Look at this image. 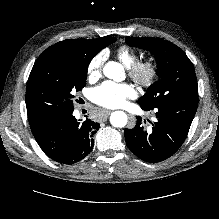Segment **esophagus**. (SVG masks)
Returning <instances> with one entry per match:
<instances>
[{"instance_id":"esophagus-1","label":"esophagus","mask_w":219,"mask_h":219,"mask_svg":"<svg viewBox=\"0 0 219 219\" xmlns=\"http://www.w3.org/2000/svg\"><path fill=\"white\" fill-rule=\"evenodd\" d=\"M104 112H105V114H104L103 119H106V117H108V115H110V113H111L112 111H111V110H105Z\"/></svg>"}]
</instances>
